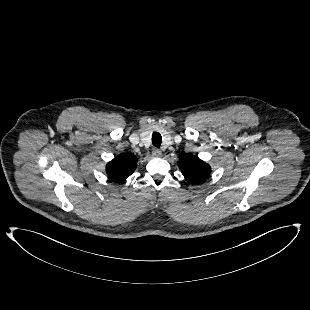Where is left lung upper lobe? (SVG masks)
<instances>
[{
  "mask_svg": "<svg viewBox=\"0 0 310 310\" xmlns=\"http://www.w3.org/2000/svg\"><path fill=\"white\" fill-rule=\"evenodd\" d=\"M178 166L186 181L193 184L204 182L211 172L207 163L189 153L179 157Z\"/></svg>",
  "mask_w": 310,
  "mask_h": 310,
  "instance_id": "1",
  "label": "left lung upper lobe"
}]
</instances>
